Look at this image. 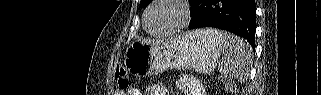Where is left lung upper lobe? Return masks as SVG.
<instances>
[{"mask_svg": "<svg viewBox=\"0 0 321 95\" xmlns=\"http://www.w3.org/2000/svg\"><path fill=\"white\" fill-rule=\"evenodd\" d=\"M152 0H141L140 1V7L145 8ZM192 0H190L191 3Z\"/></svg>", "mask_w": 321, "mask_h": 95, "instance_id": "5c2ea615", "label": "left lung upper lobe"}]
</instances>
